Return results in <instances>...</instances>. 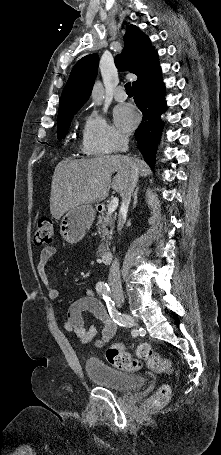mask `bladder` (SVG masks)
<instances>
[{
	"label": "bladder",
	"instance_id": "bladder-1",
	"mask_svg": "<svg viewBox=\"0 0 221 455\" xmlns=\"http://www.w3.org/2000/svg\"><path fill=\"white\" fill-rule=\"evenodd\" d=\"M85 371L94 382L116 391L138 389L144 383L141 375L119 371L97 359H87Z\"/></svg>",
	"mask_w": 221,
	"mask_h": 455
}]
</instances>
